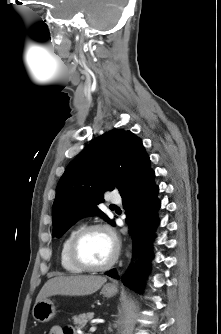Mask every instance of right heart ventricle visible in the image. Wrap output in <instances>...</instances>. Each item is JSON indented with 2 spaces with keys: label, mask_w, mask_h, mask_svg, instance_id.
<instances>
[{
  "label": "right heart ventricle",
  "mask_w": 221,
  "mask_h": 334,
  "mask_svg": "<svg viewBox=\"0 0 221 334\" xmlns=\"http://www.w3.org/2000/svg\"><path fill=\"white\" fill-rule=\"evenodd\" d=\"M77 230V228H74L66 235V237L62 241L60 249V264L66 272L71 274H79L84 271L71 261L69 255V246Z\"/></svg>",
  "instance_id": "1"
}]
</instances>
